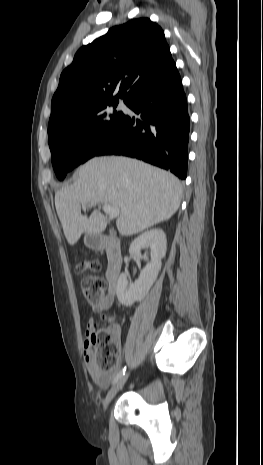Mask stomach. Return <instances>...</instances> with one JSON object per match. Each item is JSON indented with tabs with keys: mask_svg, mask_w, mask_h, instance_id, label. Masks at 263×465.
I'll return each instance as SVG.
<instances>
[{
	"mask_svg": "<svg viewBox=\"0 0 263 465\" xmlns=\"http://www.w3.org/2000/svg\"><path fill=\"white\" fill-rule=\"evenodd\" d=\"M84 243L88 247H95L97 245L96 240H95V235L93 234H86L84 237Z\"/></svg>",
	"mask_w": 263,
	"mask_h": 465,
	"instance_id": "1",
	"label": "stomach"
}]
</instances>
